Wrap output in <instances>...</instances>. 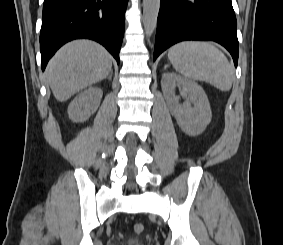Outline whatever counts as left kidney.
Returning <instances> with one entry per match:
<instances>
[{
    "instance_id": "obj_1",
    "label": "left kidney",
    "mask_w": 283,
    "mask_h": 245,
    "mask_svg": "<svg viewBox=\"0 0 283 245\" xmlns=\"http://www.w3.org/2000/svg\"><path fill=\"white\" fill-rule=\"evenodd\" d=\"M161 87L170 112L182 131L190 136L201 134L212 118L210 104L202 87L173 72L163 74ZM176 87L186 96L183 104L179 103Z\"/></svg>"
}]
</instances>
